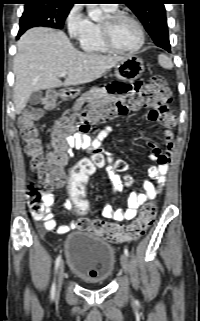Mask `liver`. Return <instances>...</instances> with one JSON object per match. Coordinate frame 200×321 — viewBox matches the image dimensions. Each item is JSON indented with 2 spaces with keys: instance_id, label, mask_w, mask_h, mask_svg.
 I'll return each instance as SVG.
<instances>
[{
  "instance_id": "obj_1",
  "label": "liver",
  "mask_w": 200,
  "mask_h": 321,
  "mask_svg": "<svg viewBox=\"0 0 200 321\" xmlns=\"http://www.w3.org/2000/svg\"><path fill=\"white\" fill-rule=\"evenodd\" d=\"M123 59L78 51L59 30L36 27L26 31L17 43L13 64L16 113L22 112L33 92L90 83ZM64 71L67 77L62 83Z\"/></svg>"
}]
</instances>
